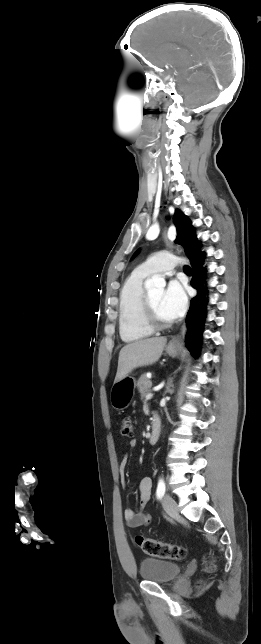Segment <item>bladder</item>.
<instances>
[{
	"mask_svg": "<svg viewBox=\"0 0 261 644\" xmlns=\"http://www.w3.org/2000/svg\"><path fill=\"white\" fill-rule=\"evenodd\" d=\"M181 572V566L177 563L146 558L140 562L139 574L143 580L167 583L174 580Z\"/></svg>",
	"mask_w": 261,
	"mask_h": 644,
	"instance_id": "bladder-1",
	"label": "bladder"
}]
</instances>
